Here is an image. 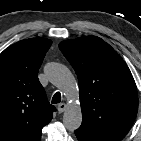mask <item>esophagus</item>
<instances>
[{"label":"esophagus","instance_id":"34e87169","mask_svg":"<svg viewBox=\"0 0 141 141\" xmlns=\"http://www.w3.org/2000/svg\"><path fill=\"white\" fill-rule=\"evenodd\" d=\"M67 108V105L65 103H60L57 106L58 112L59 113H63Z\"/></svg>","mask_w":141,"mask_h":141}]
</instances>
